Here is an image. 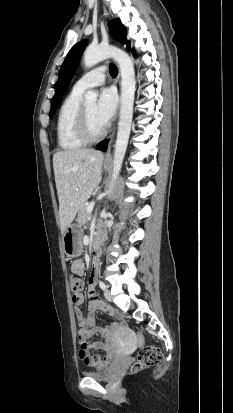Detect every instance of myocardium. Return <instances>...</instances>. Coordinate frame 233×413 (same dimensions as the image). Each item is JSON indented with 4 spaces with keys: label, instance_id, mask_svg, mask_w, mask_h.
I'll list each match as a JSON object with an SVG mask.
<instances>
[{
    "label": "myocardium",
    "instance_id": "f54148a6",
    "mask_svg": "<svg viewBox=\"0 0 233 413\" xmlns=\"http://www.w3.org/2000/svg\"><path fill=\"white\" fill-rule=\"evenodd\" d=\"M76 132L80 140L86 144H91L100 141L106 134V128L103 129L98 134H93L90 129L88 113L85 105H82L79 111Z\"/></svg>",
    "mask_w": 233,
    "mask_h": 413
}]
</instances>
